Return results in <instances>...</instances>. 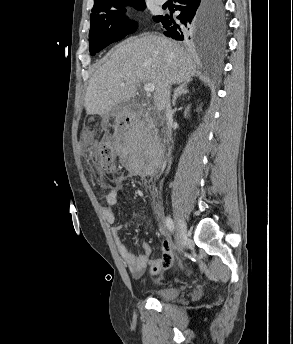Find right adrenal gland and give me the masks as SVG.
Listing matches in <instances>:
<instances>
[{
	"label": "right adrenal gland",
	"mask_w": 293,
	"mask_h": 344,
	"mask_svg": "<svg viewBox=\"0 0 293 344\" xmlns=\"http://www.w3.org/2000/svg\"><path fill=\"white\" fill-rule=\"evenodd\" d=\"M189 81L181 83L175 90H174V95H173V100H172V105H176V101L178 97H180L182 94H187L189 93V90L187 89Z\"/></svg>",
	"instance_id": "obj_1"
}]
</instances>
